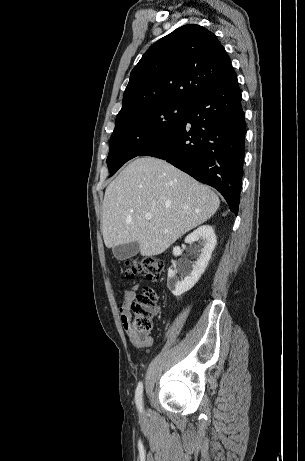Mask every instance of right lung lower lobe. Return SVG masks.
Returning <instances> with one entry per match:
<instances>
[{
	"label": "right lung lower lobe",
	"instance_id": "1",
	"mask_svg": "<svg viewBox=\"0 0 305 461\" xmlns=\"http://www.w3.org/2000/svg\"><path fill=\"white\" fill-rule=\"evenodd\" d=\"M234 74L189 103L181 124L138 156L157 157L216 188L237 215L246 122Z\"/></svg>",
	"mask_w": 305,
	"mask_h": 461
}]
</instances>
